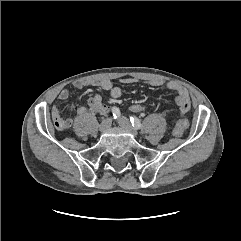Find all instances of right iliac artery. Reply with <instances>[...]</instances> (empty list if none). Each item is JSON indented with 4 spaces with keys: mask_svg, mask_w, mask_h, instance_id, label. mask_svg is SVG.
I'll list each match as a JSON object with an SVG mask.
<instances>
[{
    "mask_svg": "<svg viewBox=\"0 0 241 241\" xmlns=\"http://www.w3.org/2000/svg\"><path fill=\"white\" fill-rule=\"evenodd\" d=\"M111 111H112V114H113V119H116L120 116V111L117 107H112Z\"/></svg>",
    "mask_w": 241,
    "mask_h": 241,
    "instance_id": "1",
    "label": "right iliac artery"
}]
</instances>
